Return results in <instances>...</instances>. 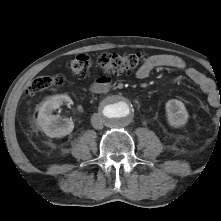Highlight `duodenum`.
Segmentation results:
<instances>
[{"label": "duodenum", "instance_id": "obj_1", "mask_svg": "<svg viewBox=\"0 0 221 221\" xmlns=\"http://www.w3.org/2000/svg\"><path fill=\"white\" fill-rule=\"evenodd\" d=\"M91 92L96 94L105 93L109 89V84L105 81H97L91 85Z\"/></svg>", "mask_w": 221, "mask_h": 221}]
</instances>
